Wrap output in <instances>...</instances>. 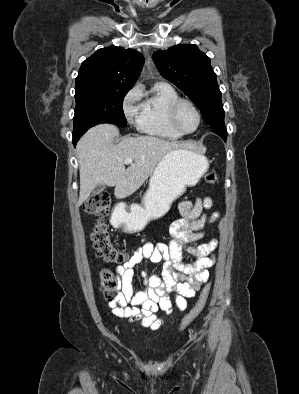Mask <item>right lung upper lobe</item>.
Returning <instances> with one entry per match:
<instances>
[{"label":"right lung upper lobe","instance_id":"obj_1","mask_svg":"<svg viewBox=\"0 0 299 394\" xmlns=\"http://www.w3.org/2000/svg\"><path fill=\"white\" fill-rule=\"evenodd\" d=\"M143 64L144 57L133 49L115 46L99 49L82 63L75 89H131Z\"/></svg>","mask_w":299,"mask_h":394}]
</instances>
